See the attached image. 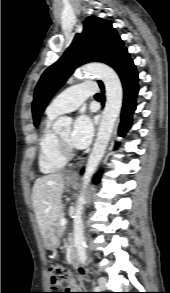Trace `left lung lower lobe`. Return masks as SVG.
Returning <instances> with one entry per match:
<instances>
[{"instance_id":"0a47b994","label":"left lung lower lobe","mask_w":170,"mask_h":293,"mask_svg":"<svg viewBox=\"0 0 170 293\" xmlns=\"http://www.w3.org/2000/svg\"><path fill=\"white\" fill-rule=\"evenodd\" d=\"M112 67L120 76L124 88L121 123L119 125V135L122 136L130 128L132 123V114L136 108V97L139 91L138 73L127 50L118 56ZM99 84L102 92H104L102 82H99ZM94 181L99 182V176H96Z\"/></svg>"}]
</instances>
